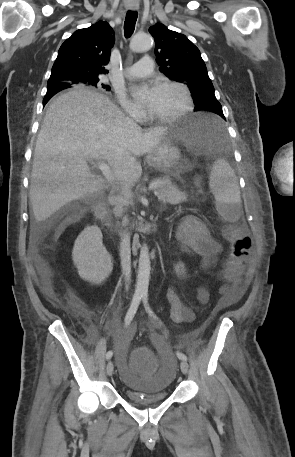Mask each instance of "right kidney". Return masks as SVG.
Returning a JSON list of instances; mask_svg holds the SVG:
<instances>
[{
    "mask_svg": "<svg viewBox=\"0 0 295 457\" xmlns=\"http://www.w3.org/2000/svg\"><path fill=\"white\" fill-rule=\"evenodd\" d=\"M73 262L79 276L92 284H101L113 269L110 254L102 243V233L97 226L86 227L75 240Z\"/></svg>",
    "mask_w": 295,
    "mask_h": 457,
    "instance_id": "1",
    "label": "right kidney"
}]
</instances>
